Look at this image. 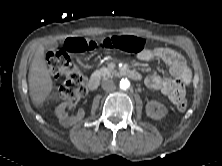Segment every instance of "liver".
<instances>
[{"label":"liver","instance_id":"obj_1","mask_svg":"<svg viewBox=\"0 0 222 166\" xmlns=\"http://www.w3.org/2000/svg\"><path fill=\"white\" fill-rule=\"evenodd\" d=\"M29 94L35 106H41L53 89L47 62L44 57V47L40 45L33 57L29 75Z\"/></svg>","mask_w":222,"mask_h":166}]
</instances>
